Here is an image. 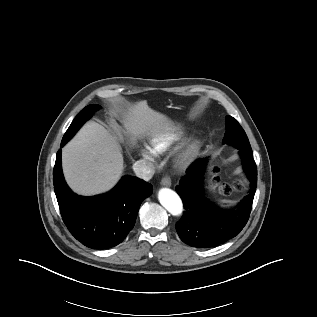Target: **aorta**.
I'll list each match as a JSON object with an SVG mask.
<instances>
[{
  "label": "aorta",
  "instance_id": "1",
  "mask_svg": "<svg viewBox=\"0 0 317 317\" xmlns=\"http://www.w3.org/2000/svg\"><path fill=\"white\" fill-rule=\"evenodd\" d=\"M158 199L161 205L173 216L181 215L183 211V203L173 190L169 188H162L159 191Z\"/></svg>",
  "mask_w": 317,
  "mask_h": 317
}]
</instances>
